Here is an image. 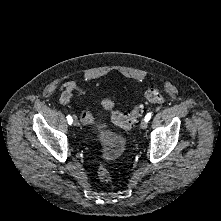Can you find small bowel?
<instances>
[{
    "mask_svg": "<svg viewBox=\"0 0 221 221\" xmlns=\"http://www.w3.org/2000/svg\"><path fill=\"white\" fill-rule=\"evenodd\" d=\"M73 91H77L80 94L82 93V89L76 81L68 80L64 82L61 86V95L59 98V102L61 104L68 103L73 97Z\"/></svg>",
    "mask_w": 221,
    "mask_h": 221,
    "instance_id": "1",
    "label": "small bowel"
}]
</instances>
